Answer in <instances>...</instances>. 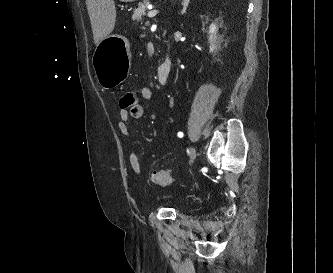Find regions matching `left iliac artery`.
I'll return each mask as SVG.
<instances>
[{"label": "left iliac artery", "instance_id": "1", "mask_svg": "<svg viewBox=\"0 0 333 273\" xmlns=\"http://www.w3.org/2000/svg\"><path fill=\"white\" fill-rule=\"evenodd\" d=\"M177 135H178V137L182 138L184 134L182 132H178Z\"/></svg>", "mask_w": 333, "mask_h": 273}]
</instances>
